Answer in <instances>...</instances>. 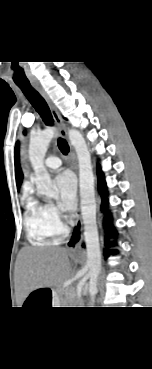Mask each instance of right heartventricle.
<instances>
[{
  "label": "right heart ventricle",
  "instance_id": "obj_1",
  "mask_svg": "<svg viewBox=\"0 0 152 369\" xmlns=\"http://www.w3.org/2000/svg\"><path fill=\"white\" fill-rule=\"evenodd\" d=\"M24 200V225L29 241L37 246L54 243L64 230L52 223L48 205L39 203L30 193L25 194Z\"/></svg>",
  "mask_w": 152,
  "mask_h": 369
}]
</instances>
